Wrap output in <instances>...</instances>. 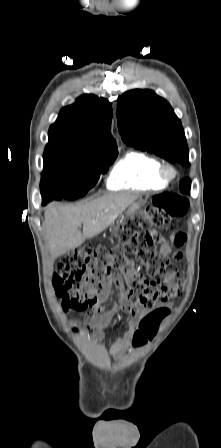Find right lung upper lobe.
Masks as SVG:
<instances>
[{"label": "right lung upper lobe", "mask_w": 221, "mask_h": 448, "mask_svg": "<svg viewBox=\"0 0 221 448\" xmlns=\"http://www.w3.org/2000/svg\"><path fill=\"white\" fill-rule=\"evenodd\" d=\"M112 107L95 95H82L63 108L49 129L45 150H68L85 156H105L117 152L110 134ZM107 136H106V133Z\"/></svg>", "instance_id": "right-lung-upper-lobe-1"}]
</instances>
